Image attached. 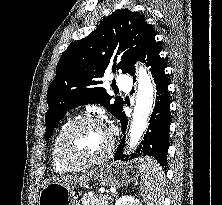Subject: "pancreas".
Segmentation results:
<instances>
[{"label": "pancreas", "mask_w": 222, "mask_h": 205, "mask_svg": "<svg viewBox=\"0 0 222 205\" xmlns=\"http://www.w3.org/2000/svg\"><path fill=\"white\" fill-rule=\"evenodd\" d=\"M110 198L108 195L103 196H88L82 198V205H109Z\"/></svg>", "instance_id": "obj_1"}]
</instances>
